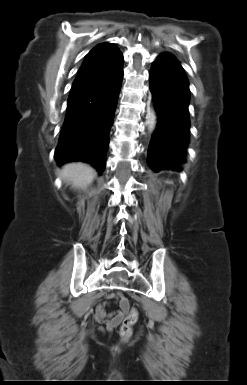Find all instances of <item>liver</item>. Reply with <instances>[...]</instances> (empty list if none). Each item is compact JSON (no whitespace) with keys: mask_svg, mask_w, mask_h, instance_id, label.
I'll return each instance as SVG.
<instances>
[{"mask_svg":"<svg viewBox=\"0 0 247 385\" xmlns=\"http://www.w3.org/2000/svg\"><path fill=\"white\" fill-rule=\"evenodd\" d=\"M60 176L72 184L74 188H86L96 177V172L87 164L77 162L66 164Z\"/></svg>","mask_w":247,"mask_h":385,"instance_id":"liver-1","label":"liver"}]
</instances>
